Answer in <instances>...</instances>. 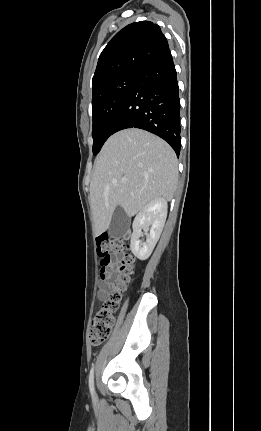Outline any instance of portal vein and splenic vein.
Returning a JSON list of instances; mask_svg holds the SVG:
<instances>
[{
    "mask_svg": "<svg viewBox=\"0 0 261 431\" xmlns=\"http://www.w3.org/2000/svg\"><path fill=\"white\" fill-rule=\"evenodd\" d=\"M122 183H126V179H122Z\"/></svg>",
    "mask_w": 261,
    "mask_h": 431,
    "instance_id": "18ae733b",
    "label": "portal vein and splenic vein"
}]
</instances>
